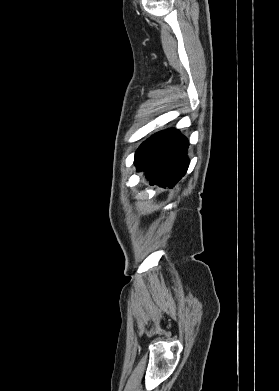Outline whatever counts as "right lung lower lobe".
<instances>
[{"label": "right lung lower lobe", "instance_id": "98d812e1", "mask_svg": "<svg viewBox=\"0 0 279 391\" xmlns=\"http://www.w3.org/2000/svg\"><path fill=\"white\" fill-rule=\"evenodd\" d=\"M187 139L175 129L154 134L136 151L134 164L146 170L150 183L174 186L185 175L189 160Z\"/></svg>", "mask_w": 279, "mask_h": 391}]
</instances>
